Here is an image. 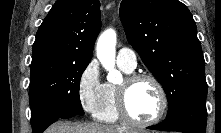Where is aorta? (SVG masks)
Listing matches in <instances>:
<instances>
[{
  "instance_id": "obj_1",
  "label": "aorta",
  "mask_w": 221,
  "mask_h": 133,
  "mask_svg": "<svg viewBox=\"0 0 221 133\" xmlns=\"http://www.w3.org/2000/svg\"><path fill=\"white\" fill-rule=\"evenodd\" d=\"M116 32L113 29L104 31L97 42V58L108 72L107 80L115 83L121 80V73L115 69Z\"/></svg>"
}]
</instances>
